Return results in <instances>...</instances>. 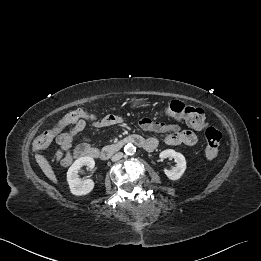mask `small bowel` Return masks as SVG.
<instances>
[{
  "label": "small bowel",
  "instance_id": "1",
  "mask_svg": "<svg viewBox=\"0 0 261 261\" xmlns=\"http://www.w3.org/2000/svg\"><path fill=\"white\" fill-rule=\"evenodd\" d=\"M123 122L122 118L117 115H106L94 122V127L102 128L109 127L114 125H119ZM140 125L143 129L152 130L155 132L163 133V141L167 145L171 146H188L192 147L196 145L198 139L197 136L188 130H182L178 124H165L162 122H156L149 118H144L140 122ZM61 127V122L49 129V131L57 130ZM155 141L156 139H151ZM58 144V148L56 150V161L61 163L62 165H67L72 162L73 159L79 157H95V152L99 151L97 147H93L87 143H81L75 147L73 151H70V144Z\"/></svg>",
  "mask_w": 261,
  "mask_h": 261
}]
</instances>
